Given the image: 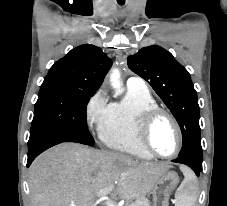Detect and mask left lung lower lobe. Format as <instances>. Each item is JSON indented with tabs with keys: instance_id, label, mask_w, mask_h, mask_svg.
<instances>
[{
	"instance_id": "0a47b994",
	"label": "left lung lower lobe",
	"mask_w": 227,
	"mask_h": 206,
	"mask_svg": "<svg viewBox=\"0 0 227 206\" xmlns=\"http://www.w3.org/2000/svg\"><path fill=\"white\" fill-rule=\"evenodd\" d=\"M172 162L189 166L197 176H199L202 171V158L194 157L191 154L181 155L177 159L172 160Z\"/></svg>"
}]
</instances>
